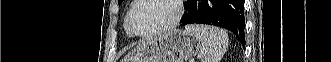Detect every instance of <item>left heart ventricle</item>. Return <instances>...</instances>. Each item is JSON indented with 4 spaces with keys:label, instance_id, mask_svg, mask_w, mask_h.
Masks as SVG:
<instances>
[{
    "label": "left heart ventricle",
    "instance_id": "1",
    "mask_svg": "<svg viewBox=\"0 0 331 62\" xmlns=\"http://www.w3.org/2000/svg\"><path fill=\"white\" fill-rule=\"evenodd\" d=\"M175 14L171 0H143L133 12V24L141 33L150 32L166 25Z\"/></svg>",
    "mask_w": 331,
    "mask_h": 62
}]
</instances>
